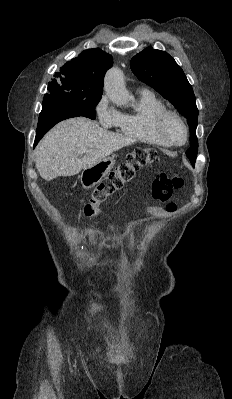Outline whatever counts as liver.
<instances>
[{
    "label": "liver",
    "mask_w": 232,
    "mask_h": 399,
    "mask_svg": "<svg viewBox=\"0 0 232 399\" xmlns=\"http://www.w3.org/2000/svg\"><path fill=\"white\" fill-rule=\"evenodd\" d=\"M132 142L87 118H71L57 124L41 140L36 148V168L47 182L57 176H75ZM81 146H87L88 152L78 158Z\"/></svg>",
    "instance_id": "1"
}]
</instances>
